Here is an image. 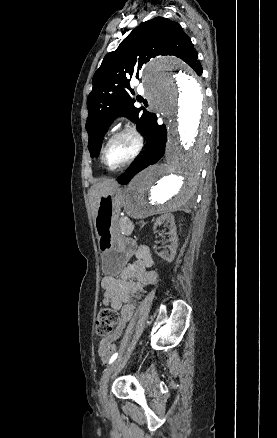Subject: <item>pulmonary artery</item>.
I'll return each instance as SVG.
<instances>
[{
    "label": "pulmonary artery",
    "instance_id": "e3ab8cb5",
    "mask_svg": "<svg viewBox=\"0 0 277 438\" xmlns=\"http://www.w3.org/2000/svg\"><path fill=\"white\" fill-rule=\"evenodd\" d=\"M139 82H140L139 80H131V81H130V85H131V86H138V85H139Z\"/></svg>",
    "mask_w": 277,
    "mask_h": 438
}]
</instances>
